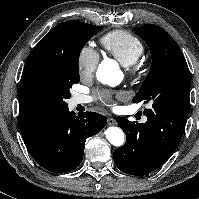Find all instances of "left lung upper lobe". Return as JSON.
<instances>
[{
	"label": "left lung upper lobe",
	"mask_w": 199,
	"mask_h": 199,
	"mask_svg": "<svg viewBox=\"0 0 199 199\" xmlns=\"http://www.w3.org/2000/svg\"><path fill=\"white\" fill-rule=\"evenodd\" d=\"M134 31L149 46L152 65L133 102L151 101L152 109L163 107L189 114L191 80L180 47L159 26L146 24L134 28Z\"/></svg>",
	"instance_id": "obj_1"
}]
</instances>
